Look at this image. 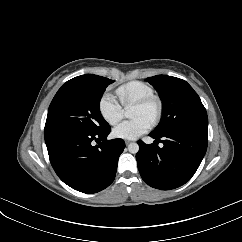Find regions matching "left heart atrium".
Listing matches in <instances>:
<instances>
[{"mask_svg": "<svg viewBox=\"0 0 242 242\" xmlns=\"http://www.w3.org/2000/svg\"><path fill=\"white\" fill-rule=\"evenodd\" d=\"M151 122L143 117L119 123L113 128V135L122 139H136L151 128Z\"/></svg>", "mask_w": 242, "mask_h": 242, "instance_id": "1", "label": "left heart atrium"}]
</instances>
